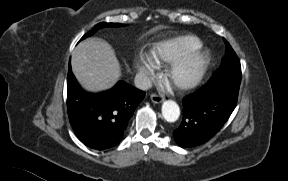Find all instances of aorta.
I'll return each mask as SVG.
<instances>
[{"instance_id":"obj_1","label":"aorta","mask_w":288,"mask_h":181,"mask_svg":"<svg viewBox=\"0 0 288 181\" xmlns=\"http://www.w3.org/2000/svg\"><path fill=\"white\" fill-rule=\"evenodd\" d=\"M162 115L167 122H175L180 116V108L173 100H167L162 105Z\"/></svg>"}]
</instances>
